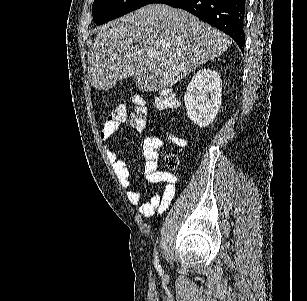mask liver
I'll use <instances>...</instances> for the list:
<instances>
[{
  "label": "liver",
  "instance_id": "liver-1",
  "mask_svg": "<svg viewBox=\"0 0 307 301\" xmlns=\"http://www.w3.org/2000/svg\"><path fill=\"white\" fill-rule=\"evenodd\" d=\"M232 42L187 10L147 4L99 26L88 56L89 80L97 90H109L133 76L139 90L156 92L220 56Z\"/></svg>",
  "mask_w": 307,
  "mask_h": 301
}]
</instances>
